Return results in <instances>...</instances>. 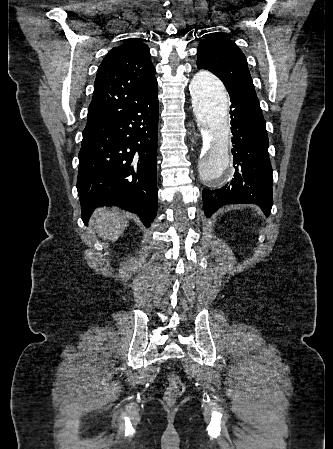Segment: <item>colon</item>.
I'll return each mask as SVG.
<instances>
[{"label":"colon","instance_id":"1","mask_svg":"<svg viewBox=\"0 0 333 449\" xmlns=\"http://www.w3.org/2000/svg\"><path fill=\"white\" fill-rule=\"evenodd\" d=\"M184 392V385L178 376L170 374L168 376V387L165 392V399L168 402L175 401Z\"/></svg>","mask_w":333,"mask_h":449}]
</instances>
